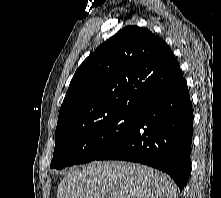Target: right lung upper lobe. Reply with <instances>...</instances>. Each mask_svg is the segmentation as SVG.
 Wrapping results in <instances>:
<instances>
[{
  "mask_svg": "<svg viewBox=\"0 0 221 198\" xmlns=\"http://www.w3.org/2000/svg\"><path fill=\"white\" fill-rule=\"evenodd\" d=\"M182 78L166 42L149 29L127 26L75 72L60 108L56 137L113 114H139Z\"/></svg>",
  "mask_w": 221,
  "mask_h": 198,
  "instance_id": "1",
  "label": "right lung upper lobe"
}]
</instances>
